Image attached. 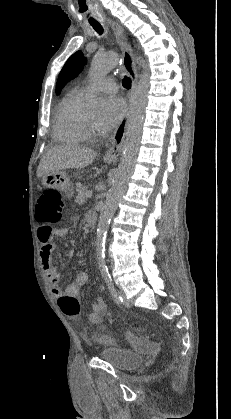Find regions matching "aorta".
<instances>
[{"label":"aorta","instance_id":"obj_1","mask_svg":"<svg viewBox=\"0 0 231 419\" xmlns=\"http://www.w3.org/2000/svg\"><path fill=\"white\" fill-rule=\"evenodd\" d=\"M140 63L144 71L131 97L123 153L114 174L112 188L107 194L97 226L96 259L100 267H105V241L107 231L118 202L125 193L133 173L142 136L150 73L145 61L140 60ZM117 64L118 56L116 54H98L92 60L90 76L94 80L105 77ZM87 104L91 109H97L101 106L99 99L94 95L88 97Z\"/></svg>","mask_w":231,"mask_h":419}]
</instances>
